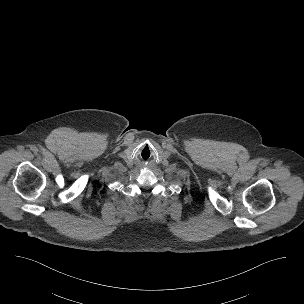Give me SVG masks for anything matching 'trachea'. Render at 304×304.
<instances>
[{
  "instance_id": "obj_1",
  "label": "trachea",
  "mask_w": 304,
  "mask_h": 304,
  "mask_svg": "<svg viewBox=\"0 0 304 304\" xmlns=\"http://www.w3.org/2000/svg\"><path fill=\"white\" fill-rule=\"evenodd\" d=\"M139 157L141 159H148L150 157V150L148 148H141L139 150Z\"/></svg>"
}]
</instances>
